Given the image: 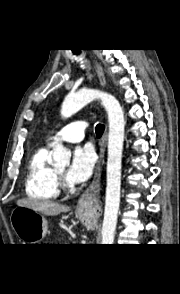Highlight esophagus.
Instances as JSON below:
<instances>
[{
  "instance_id": "34e87169",
  "label": "esophagus",
  "mask_w": 180,
  "mask_h": 294,
  "mask_svg": "<svg viewBox=\"0 0 180 294\" xmlns=\"http://www.w3.org/2000/svg\"><path fill=\"white\" fill-rule=\"evenodd\" d=\"M96 73L99 78V82L102 87L106 85V79L104 75V71L101 65L93 60ZM107 145V127L101 139L100 144V159L96 166L94 178L88 188L82 193L79 198V202L77 205V212L83 214L87 220L90 219H98L102 214V204L99 199L100 194V180H101V171H102V163L105 155Z\"/></svg>"
}]
</instances>
